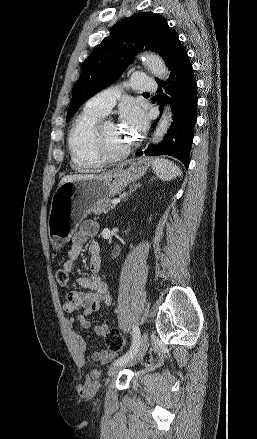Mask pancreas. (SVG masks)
Listing matches in <instances>:
<instances>
[{
  "label": "pancreas",
  "instance_id": "cf45deb5",
  "mask_svg": "<svg viewBox=\"0 0 257 439\" xmlns=\"http://www.w3.org/2000/svg\"><path fill=\"white\" fill-rule=\"evenodd\" d=\"M110 199H105L98 201L95 205H93L90 209V212L94 215H99L101 213H108L111 209L115 208V205H110Z\"/></svg>",
  "mask_w": 257,
  "mask_h": 439
}]
</instances>
